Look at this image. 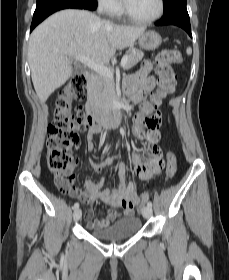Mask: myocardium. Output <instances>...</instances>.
Instances as JSON below:
<instances>
[{"instance_id": "1", "label": "myocardium", "mask_w": 229, "mask_h": 280, "mask_svg": "<svg viewBox=\"0 0 229 280\" xmlns=\"http://www.w3.org/2000/svg\"><path fill=\"white\" fill-rule=\"evenodd\" d=\"M165 11V1L164 0H158V10L157 12L152 15L151 17L148 18H138L135 17L133 15L130 14V12L128 11V9L125 6V3L123 2V6H122V12L124 14V16L131 22L136 23V24H140V25H148L151 24L155 21H157L158 19H160Z\"/></svg>"}]
</instances>
